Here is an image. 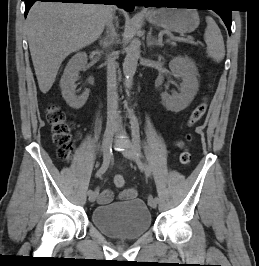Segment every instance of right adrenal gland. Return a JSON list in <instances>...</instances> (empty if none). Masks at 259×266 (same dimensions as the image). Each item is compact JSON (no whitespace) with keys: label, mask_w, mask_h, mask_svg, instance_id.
I'll return each instance as SVG.
<instances>
[{"label":"right adrenal gland","mask_w":259,"mask_h":266,"mask_svg":"<svg viewBox=\"0 0 259 266\" xmlns=\"http://www.w3.org/2000/svg\"><path fill=\"white\" fill-rule=\"evenodd\" d=\"M107 43H108V37H104V38L100 39V41H99L100 46H103V47L106 46Z\"/></svg>","instance_id":"right-adrenal-gland-1"}]
</instances>
